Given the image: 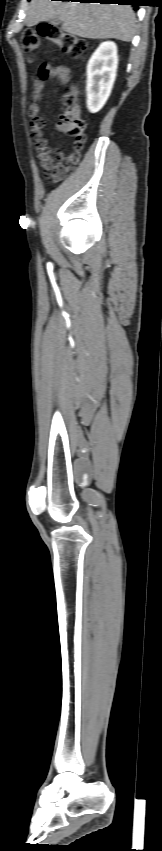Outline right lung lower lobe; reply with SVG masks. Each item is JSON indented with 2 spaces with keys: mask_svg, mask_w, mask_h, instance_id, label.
I'll return each mask as SVG.
<instances>
[{
  "mask_svg": "<svg viewBox=\"0 0 162 851\" xmlns=\"http://www.w3.org/2000/svg\"><path fill=\"white\" fill-rule=\"evenodd\" d=\"M74 1V0H62ZM80 2L101 3V4H120V5H140V0H77Z\"/></svg>",
  "mask_w": 162,
  "mask_h": 851,
  "instance_id": "right-lung-lower-lobe-1",
  "label": "right lung lower lobe"
}]
</instances>
